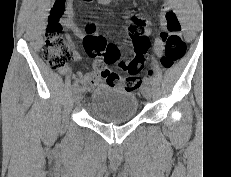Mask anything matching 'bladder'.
<instances>
[{"mask_svg":"<svg viewBox=\"0 0 231 177\" xmlns=\"http://www.w3.org/2000/svg\"><path fill=\"white\" fill-rule=\"evenodd\" d=\"M94 116L107 122L131 120L137 115L138 100L134 93L116 86H99L91 95Z\"/></svg>","mask_w":231,"mask_h":177,"instance_id":"1","label":"bladder"}]
</instances>
